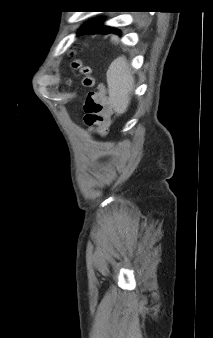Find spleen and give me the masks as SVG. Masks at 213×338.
Returning <instances> with one entry per match:
<instances>
[{"label": "spleen", "mask_w": 213, "mask_h": 338, "mask_svg": "<svg viewBox=\"0 0 213 338\" xmlns=\"http://www.w3.org/2000/svg\"><path fill=\"white\" fill-rule=\"evenodd\" d=\"M109 101L115 112L123 114L130 103V94L134 87V78L124 56L115 59L107 71Z\"/></svg>", "instance_id": "obj_1"}]
</instances>
